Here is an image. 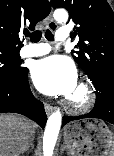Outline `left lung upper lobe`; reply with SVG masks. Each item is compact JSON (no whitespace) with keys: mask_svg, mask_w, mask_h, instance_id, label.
Here are the masks:
<instances>
[{"mask_svg":"<svg viewBox=\"0 0 114 156\" xmlns=\"http://www.w3.org/2000/svg\"><path fill=\"white\" fill-rule=\"evenodd\" d=\"M53 8L69 11L78 44L74 60L94 86L114 81V14L106 0H52Z\"/></svg>","mask_w":114,"mask_h":156,"instance_id":"left-lung-upper-lobe-1","label":"left lung upper lobe"}]
</instances>
